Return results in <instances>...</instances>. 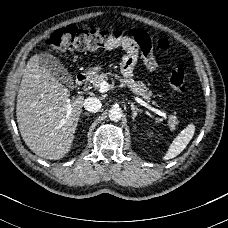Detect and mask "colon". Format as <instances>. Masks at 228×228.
<instances>
[{"mask_svg": "<svg viewBox=\"0 0 228 228\" xmlns=\"http://www.w3.org/2000/svg\"><path fill=\"white\" fill-rule=\"evenodd\" d=\"M125 31L117 30L113 32H102L95 29H88L76 26L63 27L52 33L50 38L45 42L47 46L58 49H76L88 50L95 52L104 45L113 48L119 43ZM157 47L167 48V42L164 40L157 41ZM170 85L176 94H183L185 91V74L180 67H175L170 73Z\"/></svg>", "mask_w": 228, "mask_h": 228, "instance_id": "5ec220e1", "label": "colon"}]
</instances>
